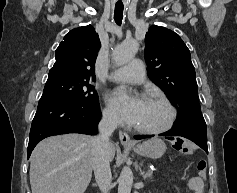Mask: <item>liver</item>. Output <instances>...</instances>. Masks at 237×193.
<instances>
[{"label":"liver","instance_id":"6515ba94","mask_svg":"<svg viewBox=\"0 0 237 193\" xmlns=\"http://www.w3.org/2000/svg\"><path fill=\"white\" fill-rule=\"evenodd\" d=\"M115 156L111 143L110 161ZM93 170V137L64 134L42 140L30 164L32 193H84Z\"/></svg>","mask_w":237,"mask_h":193}]
</instances>
